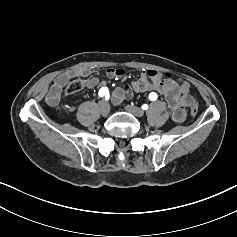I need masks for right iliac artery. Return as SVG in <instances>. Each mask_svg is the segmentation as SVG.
<instances>
[{
    "label": "right iliac artery",
    "instance_id": "1",
    "mask_svg": "<svg viewBox=\"0 0 237 237\" xmlns=\"http://www.w3.org/2000/svg\"><path fill=\"white\" fill-rule=\"evenodd\" d=\"M99 96L100 97H103V96H105V97H108L109 96V90H108V88L107 87H102L100 90H99Z\"/></svg>",
    "mask_w": 237,
    "mask_h": 237
}]
</instances>
